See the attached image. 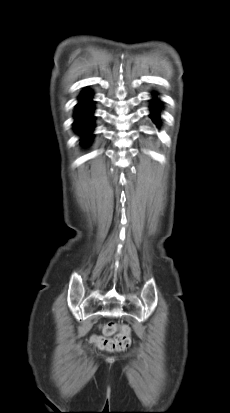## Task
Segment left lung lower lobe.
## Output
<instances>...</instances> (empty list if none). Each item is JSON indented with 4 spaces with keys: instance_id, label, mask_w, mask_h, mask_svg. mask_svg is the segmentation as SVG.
I'll use <instances>...</instances> for the list:
<instances>
[{
    "instance_id": "obj_1",
    "label": "left lung lower lobe",
    "mask_w": 230,
    "mask_h": 413,
    "mask_svg": "<svg viewBox=\"0 0 230 413\" xmlns=\"http://www.w3.org/2000/svg\"><path fill=\"white\" fill-rule=\"evenodd\" d=\"M162 106L161 103L158 99H153L152 100V105H151V118L153 119V121L158 125L160 122V110H161Z\"/></svg>"
}]
</instances>
